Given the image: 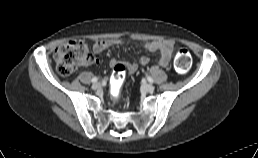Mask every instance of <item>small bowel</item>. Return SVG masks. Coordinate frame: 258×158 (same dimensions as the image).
I'll use <instances>...</instances> for the list:
<instances>
[{
    "instance_id": "small-bowel-1",
    "label": "small bowel",
    "mask_w": 258,
    "mask_h": 158,
    "mask_svg": "<svg viewBox=\"0 0 258 158\" xmlns=\"http://www.w3.org/2000/svg\"><path fill=\"white\" fill-rule=\"evenodd\" d=\"M122 45V41L116 38L106 39V40H98L93 44V51L95 53H101L104 50H107L111 47ZM142 46L147 48L150 51L158 53V63L166 67L169 65L172 54L174 52L175 43L172 40H154V41H146L141 43ZM139 65L144 67L148 65L149 58L146 56H142L139 58ZM118 62L116 60H111L110 65L115 66ZM138 68L137 64L129 63L127 65V69L131 72L136 71Z\"/></svg>"
}]
</instances>
